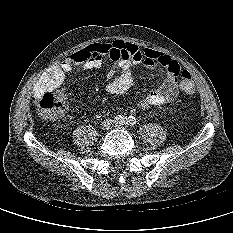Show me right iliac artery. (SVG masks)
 Listing matches in <instances>:
<instances>
[{
    "mask_svg": "<svg viewBox=\"0 0 233 233\" xmlns=\"http://www.w3.org/2000/svg\"><path fill=\"white\" fill-rule=\"evenodd\" d=\"M114 120H115L116 123L124 124L125 121L127 120V117L126 116L118 115V116L114 117Z\"/></svg>",
    "mask_w": 233,
    "mask_h": 233,
    "instance_id": "obj_1",
    "label": "right iliac artery"
}]
</instances>
